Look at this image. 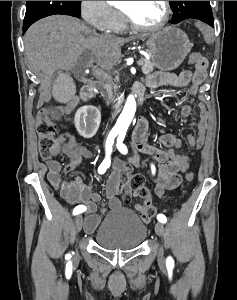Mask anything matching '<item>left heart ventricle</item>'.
Instances as JSON below:
<instances>
[{
  "label": "left heart ventricle",
  "instance_id": "left-heart-ventricle-1",
  "mask_svg": "<svg viewBox=\"0 0 237 300\" xmlns=\"http://www.w3.org/2000/svg\"><path fill=\"white\" fill-rule=\"evenodd\" d=\"M121 8L136 23L146 26L159 23L165 11L163 1H121Z\"/></svg>",
  "mask_w": 237,
  "mask_h": 300
}]
</instances>
